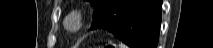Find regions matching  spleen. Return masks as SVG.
Wrapping results in <instances>:
<instances>
[{"instance_id": "1", "label": "spleen", "mask_w": 213, "mask_h": 48, "mask_svg": "<svg viewBox=\"0 0 213 48\" xmlns=\"http://www.w3.org/2000/svg\"><path fill=\"white\" fill-rule=\"evenodd\" d=\"M118 48H128V47L124 45L123 43H119Z\"/></svg>"}]
</instances>
